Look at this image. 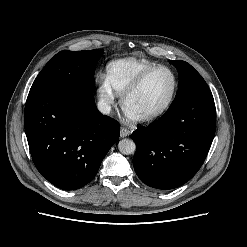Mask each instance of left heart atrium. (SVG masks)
<instances>
[{
    "instance_id": "left-heart-atrium-1",
    "label": "left heart atrium",
    "mask_w": 247,
    "mask_h": 247,
    "mask_svg": "<svg viewBox=\"0 0 247 247\" xmlns=\"http://www.w3.org/2000/svg\"><path fill=\"white\" fill-rule=\"evenodd\" d=\"M128 117H129L130 119H132V120H136L135 117L132 116V115H128Z\"/></svg>"
}]
</instances>
